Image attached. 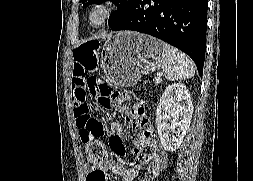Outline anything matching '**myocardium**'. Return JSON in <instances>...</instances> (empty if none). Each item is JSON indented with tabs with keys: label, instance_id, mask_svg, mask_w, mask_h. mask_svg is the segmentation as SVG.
I'll list each match as a JSON object with an SVG mask.
<instances>
[{
	"label": "myocardium",
	"instance_id": "obj_1",
	"mask_svg": "<svg viewBox=\"0 0 253 181\" xmlns=\"http://www.w3.org/2000/svg\"><path fill=\"white\" fill-rule=\"evenodd\" d=\"M116 0H95L86 12L87 24L93 29L105 27L118 10Z\"/></svg>",
	"mask_w": 253,
	"mask_h": 181
}]
</instances>
